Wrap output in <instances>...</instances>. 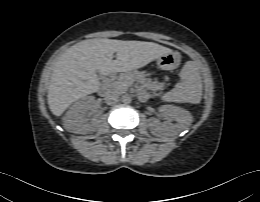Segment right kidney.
Returning a JSON list of instances; mask_svg holds the SVG:
<instances>
[{
    "instance_id": "ca27d5eb",
    "label": "right kidney",
    "mask_w": 260,
    "mask_h": 202,
    "mask_svg": "<svg viewBox=\"0 0 260 202\" xmlns=\"http://www.w3.org/2000/svg\"><path fill=\"white\" fill-rule=\"evenodd\" d=\"M95 98L87 96L77 101L63 117L64 128L75 134L94 132L100 124L102 112L95 109Z\"/></svg>"
}]
</instances>
